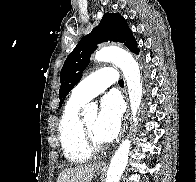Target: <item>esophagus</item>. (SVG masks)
I'll return each mask as SVG.
<instances>
[{"instance_id":"esophagus-1","label":"esophagus","mask_w":196,"mask_h":182,"mask_svg":"<svg viewBox=\"0 0 196 182\" xmlns=\"http://www.w3.org/2000/svg\"><path fill=\"white\" fill-rule=\"evenodd\" d=\"M128 117H129V105H128V109H127V112H126V115H125L124 127H123L122 132H124L125 129H126V121H127ZM105 166H106V164L104 162H100V163L97 164V167H105Z\"/></svg>"}]
</instances>
